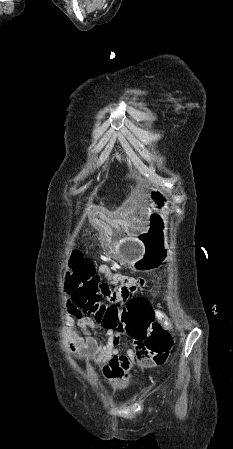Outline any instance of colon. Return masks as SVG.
Here are the masks:
<instances>
[{"label": "colon", "instance_id": "1", "mask_svg": "<svg viewBox=\"0 0 233 449\" xmlns=\"http://www.w3.org/2000/svg\"><path fill=\"white\" fill-rule=\"evenodd\" d=\"M68 268L66 292L76 308L91 315L95 328H118L120 334L135 343L136 349L169 354L172 337L154 321V310H148L147 301H118L116 296L115 302L106 307L100 300L102 278L94 263L74 250Z\"/></svg>", "mask_w": 233, "mask_h": 449}]
</instances>
